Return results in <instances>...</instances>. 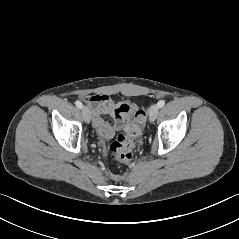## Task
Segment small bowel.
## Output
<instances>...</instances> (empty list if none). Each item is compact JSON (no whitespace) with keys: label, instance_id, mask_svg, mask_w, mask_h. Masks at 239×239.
Returning <instances> with one entry per match:
<instances>
[{"label":"small bowel","instance_id":"c3829d8e","mask_svg":"<svg viewBox=\"0 0 239 239\" xmlns=\"http://www.w3.org/2000/svg\"><path fill=\"white\" fill-rule=\"evenodd\" d=\"M91 108V119L98 133L104 139L112 138L127 123L133 114L138 112L135 104L130 102L116 103L106 94H96L88 99ZM109 115L112 122L105 121L102 115Z\"/></svg>","mask_w":239,"mask_h":239}]
</instances>
